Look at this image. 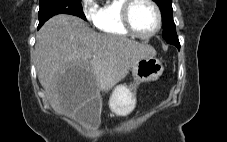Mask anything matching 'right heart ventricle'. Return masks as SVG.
<instances>
[{
    "label": "right heart ventricle",
    "mask_w": 227,
    "mask_h": 142,
    "mask_svg": "<svg viewBox=\"0 0 227 142\" xmlns=\"http://www.w3.org/2000/svg\"><path fill=\"white\" fill-rule=\"evenodd\" d=\"M125 0H110L104 3L97 12L95 20L96 28L112 36H129L121 20V8Z\"/></svg>",
    "instance_id": "right-heart-ventricle-1"
}]
</instances>
